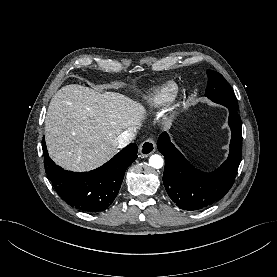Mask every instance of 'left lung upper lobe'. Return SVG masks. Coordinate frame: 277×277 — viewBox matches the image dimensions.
<instances>
[{"label":"left lung upper lobe","mask_w":277,"mask_h":277,"mask_svg":"<svg viewBox=\"0 0 277 277\" xmlns=\"http://www.w3.org/2000/svg\"><path fill=\"white\" fill-rule=\"evenodd\" d=\"M207 74L209 81L205 96L215 103L238 110L237 100L234 92L224 77L218 72L211 70H208Z\"/></svg>","instance_id":"obj_1"}]
</instances>
